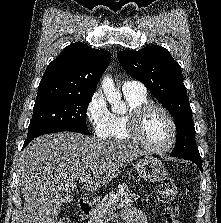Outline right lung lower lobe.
<instances>
[{"label": "right lung lower lobe", "mask_w": 221, "mask_h": 223, "mask_svg": "<svg viewBox=\"0 0 221 223\" xmlns=\"http://www.w3.org/2000/svg\"><path fill=\"white\" fill-rule=\"evenodd\" d=\"M31 141H32L31 139H26L25 142H24L23 148H24L25 146H27V144H28L29 142H31ZM23 148H22V149H23Z\"/></svg>", "instance_id": "98d812e1"}]
</instances>
